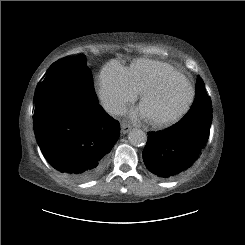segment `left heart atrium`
I'll use <instances>...</instances> for the list:
<instances>
[{
  "label": "left heart atrium",
  "instance_id": "left-heart-atrium-1",
  "mask_svg": "<svg viewBox=\"0 0 245 245\" xmlns=\"http://www.w3.org/2000/svg\"><path fill=\"white\" fill-rule=\"evenodd\" d=\"M130 117L132 119H138V118L145 117V115H144V112L142 111V109L138 108V109H134L130 112Z\"/></svg>",
  "mask_w": 245,
  "mask_h": 245
}]
</instances>
